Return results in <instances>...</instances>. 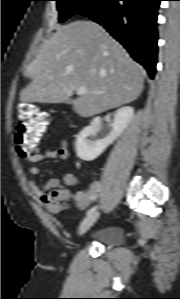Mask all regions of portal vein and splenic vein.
<instances>
[{"label": "portal vein and splenic vein", "mask_w": 180, "mask_h": 299, "mask_svg": "<svg viewBox=\"0 0 180 299\" xmlns=\"http://www.w3.org/2000/svg\"><path fill=\"white\" fill-rule=\"evenodd\" d=\"M76 92L78 95H84V94H87L89 93V91L85 88V87H78L76 89ZM92 94H101L100 92H91Z\"/></svg>", "instance_id": "18ae733b"}]
</instances>
